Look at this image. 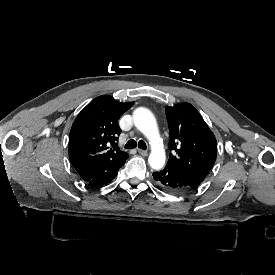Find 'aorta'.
<instances>
[{
  "label": "aorta",
  "mask_w": 275,
  "mask_h": 275,
  "mask_svg": "<svg viewBox=\"0 0 275 275\" xmlns=\"http://www.w3.org/2000/svg\"><path fill=\"white\" fill-rule=\"evenodd\" d=\"M135 127L143 134L149 142H154L160 136L157 121L151 111L146 108H138L133 114ZM166 160L165 151L156 145L151 146V153L148 158L150 166L161 169Z\"/></svg>",
  "instance_id": "obj_1"
}]
</instances>
